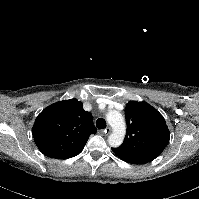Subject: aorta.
<instances>
[{
  "label": "aorta",
  "mask_w": 199,
  "mask_h": 199,
  "mask_svg": "<svg viewBox=\"0 0 199 199\" xmlns=\"http://www.w3.org/2000/svg\"><path fill=\"white\" fill-rule=\"evenodd\" d=\"M106 120L113 129V132L108 137V143L112 147H118L122 144L126 133L124 117L120 112L110 110L106 115Z\"/></svg>",
  "instance_id": "762f6f07"
}]
</instances>
